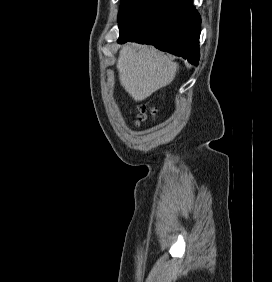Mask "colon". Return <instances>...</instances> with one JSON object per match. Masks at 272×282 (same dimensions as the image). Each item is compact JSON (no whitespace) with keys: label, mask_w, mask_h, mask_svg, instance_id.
I'll return each instance as SVG.
<instances>
[{"label":"colon","mask_w":272,"mask_h":282,"mask_svg":"<svg viewBox=\"0 0 272 282\" xmlns=\"http://www.w3.org/2000/svg\"><path fill=\"white\" fill-rule=\"evenodd\" d=\"M147 119V113L143 110L141 111L138 116H137V119L135 120L136 123H139L141 121H144Z\"/></svg>","instance_id":"5ec220e1"}]
</instances>
